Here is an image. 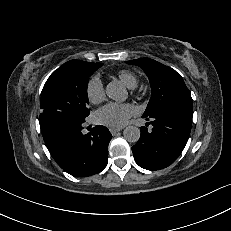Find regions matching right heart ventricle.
Returning <instances> with one entry per match:
<instances>
[{"mask_svg": "<svg viewBox=\"0 0 231 231\" xmlns=\"http://www.w3.org/2000/svg\"><path fill=\"white\" fill-rule=\"evenodd\" d=\"M120 80L128 87L135 88L138 84L136 75L129 70H122L118 73Z\"/></svg>", "mask_w": 231, "mask_h": 231, "instance_id": "right-heart-ventricle-1", "label": "right heart ventricle"}]
</instances>
